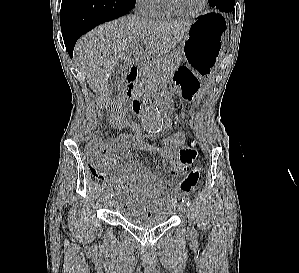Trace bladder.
Wrapping results in <instances>:
<instances>
[{"label": "bladder", "instance_id": "bladder-1", "mask_svg": "<svg viewBox=\"0 0 299 273\" xmlns=\"http://www.w3.org/2000/svg\"><path fill=\"white\" fill-rule=\"evenodd\" d=\"M174 206L175 204L172 208L154 209L150 216H145L136 210L123 211L121 216L125 222L132 226L148 229L168 222L172 216Z\"/></svg>", "mask_w": 299, "mask_h": 273}]
</instances>
